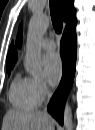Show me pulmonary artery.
<instances>
[{"label":"pulmonary artery","mask_w":95,"mask_h":130,"mask_svg":"<svg viewBox=\"0 0 95 130\" xmlns=\"http://www.w3.org/2000/svg\"><path fill=\"white\" fill-rule=\"evenodd\" d=\"M41 48L47 51H52L56 48V45L51 39H44L41 41Z\"/></svg>","instance_id":"1"}]
</instances>
